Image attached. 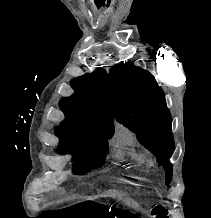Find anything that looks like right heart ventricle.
Instances as JSON below:
<instances>
[{
  "instance_id": "obj_1",
  "label": "right heart ventricle",
  "mask_w": 211,
  "mask_h": 218,
  "mask_svg": "<svg viewBox=\"0 0 211 218\" xmlns=\"http://www.w3.org/2000/svg\"><path fill=\"white\" fill-rule=\"evenodd\" d=\"M118 134L126 139H132L131 131L125 126H120L118 128ZM121 149L124 152L123 156L127 157L126 161L132 162V165H138V169H144V165L150 164L149 160H137L140 158V155L133 153L134 148L130 147V144H125V147L124 144H119L118 151H121Z\"/></svg>"
}]
</instances>
